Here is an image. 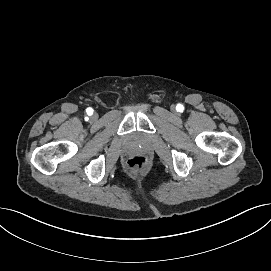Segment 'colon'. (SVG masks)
Here are the masks:
<instances>
[{"label": "colon", "instance_id": "colon-1", "mask_svg": "<svg viewBox=\"0 0 271 271\" xmlns=\"http://www.w3.org/2000/svg\"><path fill=\"white\" fill-rule=\"evenodd\" d=\"M147 159L144 156H133L127 161V167L132 171H143L147 167Z\"/></svg>", "mask_w": 271, "mask_h": 271}]
</instances>
